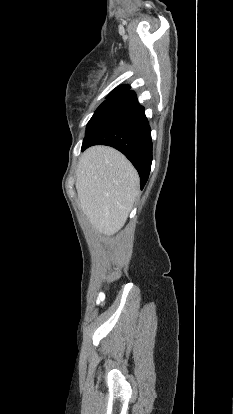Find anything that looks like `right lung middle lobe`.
<instances>
[{
  "label": "right lung middle lobe",
  "instance_id": "1",
  "mask_svg": "<svg viewBox=\"0 0 233 414\" xmlns=\"http://www.w3.org/2000/svg\"><path fill=\"white\" fill-rule=\"evenodd\" d=\"M130 87L128 86V85H122V86H119L118 88H116L115 90H113L109 95H108V97L107 98H110V97H113V96H115V95H118V94H120V93H122V92H124V91H126V90H128Z\"/></svg>",
  "mask_w": 233,
  "mask_h": 414
}]
</instances>
